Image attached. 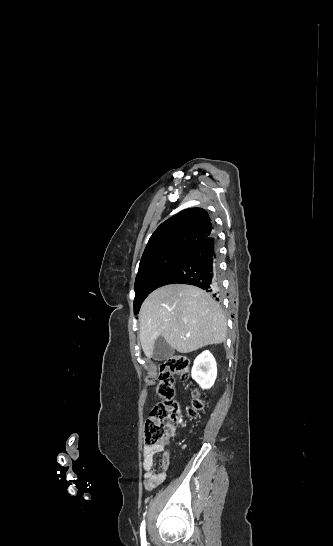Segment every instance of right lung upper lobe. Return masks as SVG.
I'll return each instance as SVG.
<instances>
[{"label": "right lung upper lobe", "instance_id": "1", "mask_svg": "<svg viewBox=\"0 0 333 546\" xmlns=\"http://www.w3.org/2000/svg\"><path fill=\"white\" fill-rule=\"evenodd\" d=\"M214 232L208 212L188 208L163 222L150 237L142 259L172 247H194ZM141 259V260H142Z\"/></svg>", "mask_w": 333, "mask_h": 546}]
</instances>
